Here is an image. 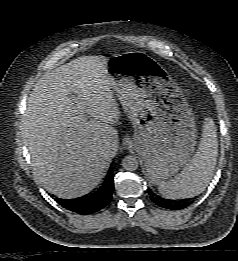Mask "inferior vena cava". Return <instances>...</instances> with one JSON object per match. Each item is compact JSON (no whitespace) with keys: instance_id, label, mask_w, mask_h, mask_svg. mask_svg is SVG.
Masks as SVG:
<instances>
[{"instance_id":"602c4592","label":"inferior vena cava","mask_w":238,"mask_h":261,"mask_svg":"<svg viewBox=\"0 0 238 261\" xmlns=\"http://www.w3.org/2000/svg\"><path fill=\"white\" fill-rule=\"evenodd\" d=\"M105 148L107 152H109L110 154L113 153V147L109 143L106 144Z\"/></svg>"}]
</instances>
